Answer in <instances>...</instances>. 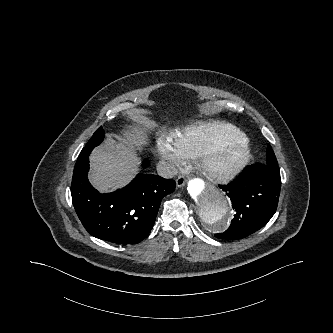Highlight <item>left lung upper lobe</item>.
I'll use <instances>...</instances> for the list:
<instances>
[{
  "instance_id": "5c2ea615",
  "label": "left lung upper lobe",
  "mask_w": 333,
  "mask_h": 333,
  "mask_svg": "<svg viewBox=\"0 0 333 333\" xmlns=\"http://www.w3.org/2000/svg\"><path fill=\"white\" fill-rule=\"evenodd\" d=\"M265 165L271 167L273 170H279L276 157L273 150H267V157Z\"/></svg>"
}]
</instances>
